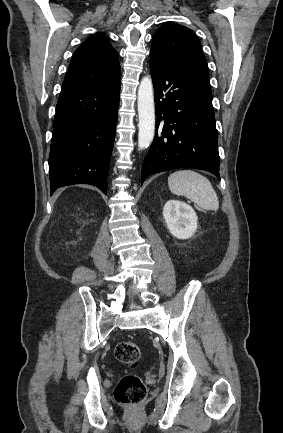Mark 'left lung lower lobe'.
<instances>
[{
	"mask_svg": "<svg viewBox=\"0 0 283 433\" xmlns=\"http://www.w3.org/2000/svg\"><path fill=\"white\" fill-rule=\"evenodd\" d=\"M156 134L142 165L149 175L176 168H196L218 179L219 154L214 112L204 108L202 79L194 72L150 54Z\"/></svg>",
	"mask_w": 283,
	"mask_h": 433,
	"instance_id": "left-lung-lower-lobe-1",
	"label": "left lung lower lobe"
}]
</instances>
